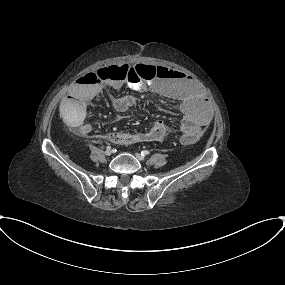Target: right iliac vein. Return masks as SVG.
Wrapping results in <instances>:
<instances>
[{
    "instance_id": "obj_1",
    "label": "right iliac vein",
    "mask_w": 285,
    "mask_h": 285,
    "mask_svg": "<svg viewBox=\"0 0 285 285\" xmlns=\"http://www.w3.org/2000/svg\"><path fill=\"white\" fill-rule=\"evenodd\" d=\"M105 154H106L107 156H109V155L112 154V151L107 149V150L105 151Z\"/></svg>"
}]
</instances>
